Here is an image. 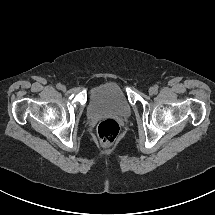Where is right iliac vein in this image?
Instances as JSON below:
<instances>
[{
    "mask_svg": "<svg viewBox=\"0 0 215 215\" xmlns=\"http://www.w3.org/2000/svg\"><path fill=\"white\" fill-rule=\"evenodd\" d=\"M61 90H62V91H65V90H66V87H65L64 85H62Z\"/></svg>",
    "mask_w": 215,
    "mask_h": 215,
    "instance_id": "63e3f726",
    "label": "right iliac vein"
}]
</instances>
